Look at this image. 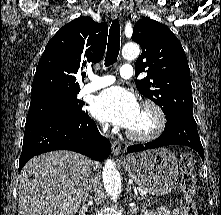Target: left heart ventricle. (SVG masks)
Segmentation results:
<instances>
[{
	"label": "left heart ventricle",
	"mask_w": 221,
	"mask_h": 215,
	"mask_svg": "<svg viewBox=\"0 0 221 215\" xmlns=\"http://www.w3.org/2000/svg\"><path fill=\"white\" fill-rule=\"evenodd\" d=\"M154 127V117L147 109L140 108L134 123L129 127L136 133H146Z\"/></svg>",
	"instance_id": "obj_1"
}]
</instances>
